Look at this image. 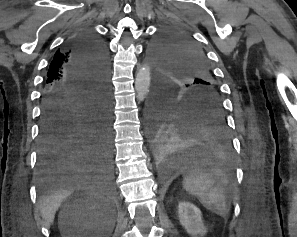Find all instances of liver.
I'll use <instances>...</instances> for the list:
<instances>
[{
    "label": "liver",
    "instance_id": "1",
    "mask_svg": "<svg viewBox=\"0 0 297 237\" xmlns=\"http://www.w3.org/2000/svg\"><path fill=\"white\" fill-rule=\"evenodd\" d=\"M90 177L83 175L66 176L63 179L62 187L40 201V212L46 225L50 226L55 218L56 211L61 203L75 190L87 188Z\"/></svg>",
    "mask_w": 297,
    "mask_h": 237
}]
</instances>
